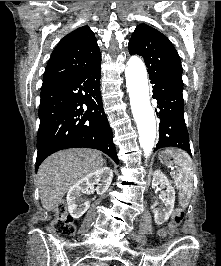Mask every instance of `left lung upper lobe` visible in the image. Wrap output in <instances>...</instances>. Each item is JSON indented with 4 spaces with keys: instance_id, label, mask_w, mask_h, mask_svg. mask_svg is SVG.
I'll return each mask as SVG.
<instances>
[{
    "instance_id": "5c2ea615",
    "label": "left lung upper lobe",
    "mask_w": 221,
    "mask_h": 266,
    "mask_svg": "<svg viewBox=\"0 0 221 266\" xmlns=\"http://www.w3.org/2000/svg\"><path fill=\"white\" fill-rule=\"evenodd\" d=\"M128 48L130 54L143 57L149 78L159 77L183 85L180 57L161 32L145 24L139 25L131 36Z\"/></svg>"
}]
</instances>
